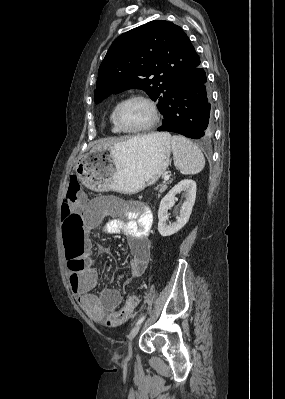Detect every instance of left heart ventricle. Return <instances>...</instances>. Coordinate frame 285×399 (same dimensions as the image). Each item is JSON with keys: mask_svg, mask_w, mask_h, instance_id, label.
Here are the masks:
<instances>
[{"mask_svg": "<svg viewBox=\"0 0 285 399\" xmlns=\"http://www.w3.org/2000/svg\"><path fill=\"white\" fill-rule=\"evenodd\" d=\"M152 115V110L147 103L134 100L123 107L121 121L127 128H137L149 123Z\"/></svg>", "mask_w": 285, "mask_h": 399, "instance_id": "1", "label": "left heart ventricle"}]
</instances>
